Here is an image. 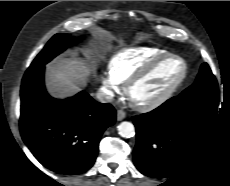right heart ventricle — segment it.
<instances>
[{"label": "right heart ventricle", "instance_id": "obj_1", "mask_svg": "<svg viewBox=\"0 0 230 186\" xmlns=\"http://www.w3.org/2000/svg\"><path fill=\"white\" fill-rule=\"evenodd\" d=\"M167 51L158 47H135L117 52L109 62V73L117 81L124 83L127 79L144 68Z\"/></svg>", "mask_w": 230, "mask_h": 186}]
</instances>
